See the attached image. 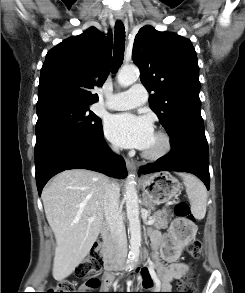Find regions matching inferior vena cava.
I'll list each match as a JSON object with an SVG mask.
<instances>
[{
  "instance_id": "obj_1",
  "label": "inferior vena cava",
  "mask_w": 245,
  "mask_h": 293,
  "mask_svg": "<svg viewBox=\"0 0 245 293\" xmlns=\"http://www.w3.org/2000/svg\"><path fill=\"white\" fill-rule=\"evenodd\" d=\"M114 150L118 151V149ZM119 197V184L109 183L104 195V216L111 232L115 252L120 256H125L127 254V237L122 211L119 208Z\"/></svg>"
}]
</instances>
